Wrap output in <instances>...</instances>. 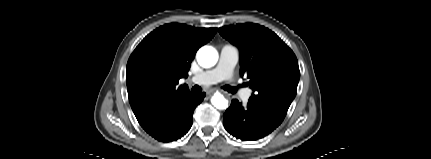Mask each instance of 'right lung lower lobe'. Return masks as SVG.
<instances>
[{"mask_svg": "<svg viewBox=\"0 0 431 159\" xmlns=\"http://www.w3.org/2000/svg\"><path fill=\"white\" fill-rule=\"evenodd\" d=\"M204 97L205 93L195 95L190 91L186 92L140 125L160 142L176 141L191 128L194 109Z\"/></svg>", "mask_w": 431, "mask_h": 159, "instance_id": "1", "label": "right lung lower lobe"}]
</instances>
